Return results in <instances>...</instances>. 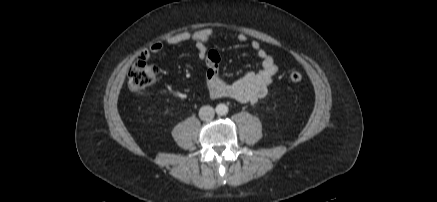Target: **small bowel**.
Here are the masks:
<instances>
[{
    "mask_svg": "<svg viewBox=\"0 0 437 202\" xmlns=\"http://www.w3.org/2000/svg\"><path fill=\"white\" fill-rule=\"evenodd\" d=\"M214 37L211 29L205 28L194 32L183 31L166 37L168 45H178L185 42H193L197 47V56L207 66L206 86L208 95L213 98H231L240 103H256L264 98L273 77L278 72V66L266 49L257 40L250 43V47L261 61V69L249 71L234 80H226L220 72V56L217 51L209 50L206 44ZM239 42H247L245 34L237 36ZM164 48L162 42L152 43L139 55L140 60H147L152 55L160 53Z\"/></svg>",
    "mask_w": 437,
    "mask_h": 202,
    "instance_id": "small-bowel-1",
    "label": "small bowel"
}]
</instances>
